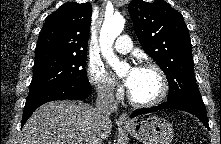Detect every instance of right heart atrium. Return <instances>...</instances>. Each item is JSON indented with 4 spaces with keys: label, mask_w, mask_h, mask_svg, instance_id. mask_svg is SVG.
Segmentation results:
<instances>
[{
    "label": "right heart atrium",
    "mask_w": 221,
    "mask_h": 144,
    "mask_svg": "<svg viewBox=\"0 0 221 144\" xmlns=\"http://www.w3.org/2000/svg\"><path fill=\"white\" fill-rule=\"evenodd\" d=\"M88 79L97 94L105 99L120 96L121 89L115 79L106 71L102 63L91 61L87 69Z\"/></svg>",
    "instance_id": "obj_1"
}]
</instances>
